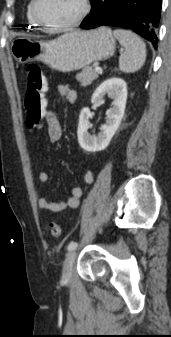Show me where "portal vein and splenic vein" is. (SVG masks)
Returning <instances> with one entry per match:
<instances>
[{"label":"portal vein and splenic vein","mask_w":171,"mask_h":337,"mask_svg":"<svg viewBox=\"0 0 171 337\" xmlns=\"http://www.w3.org/2000/svg\"><path fill=\"white\" fill-rule=\"evenodd\" d=\"M95 72L99 73V74H102L103 73V70L101 67H95Z\"/></svg>","instance_id":"1"}]
</instances>
